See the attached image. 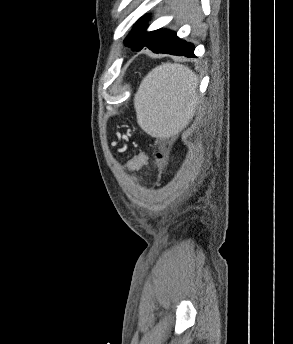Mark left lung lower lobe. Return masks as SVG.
I'll list each match as a JSON object with an SVG mask.
<instances>
[{
	"instance_id": "1",
	"label": "left lung lower lobe",
	"mask_w": 293,
	"mask_h": 344,
	"mask_svg": "<svg viewBox=\"0 0 293 344\" xmlns=\"http://www.w3.org/2000/svg\"><path fill=\"white\" fill-rule=\"evenodd\" d=\"M155 53H167L171 55H183L186 57H196L194 55V46L185 40L180 39L175 34L174 37L165 44L147 46ZM139 51V50H138Z\"/></svg>"
}]
</instances>
